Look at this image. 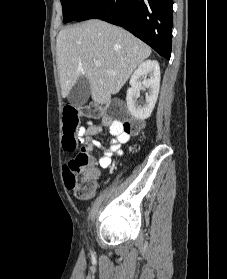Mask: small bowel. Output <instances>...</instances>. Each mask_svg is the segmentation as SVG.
Wrapping results in <instances>:
<instances>
[{
  "instance_id": "obj_1",
  "label": "small bowel",
  "mask_w": 227,
  "mask_h": 279,
  "mask_svg": "<svg viewBox=\"0 0 227 279\" xmlns=\"http://www.w3.org/2000/svg\"><path fill=\"white\" fill-rule=\"evenodd\" d=\"M107 128L109 134L112 136L110 146L108 149L102 151V154L98 161V167L92 166L87 171V178L92 180L99 175V168H107L113 159V154H122L121 146L125 144L130 138V132L125 131L122 127L115 128L114 121L111 116H104L99 123H90L87 128L84 141L86 144L87 151L92 154L96 147L101 145L100 141L95 139L93 136L101 134L103 130ZM64 173L67 171L64 169Z\"/></svg>"
}]
</instances>
